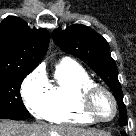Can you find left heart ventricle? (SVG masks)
Listing matches in <instances>:
<instances>
[{
    "mask_svg": "<svg viewBox=\"0 0 136 136\" xmlns=\"http://www.w3.org/2000/svg\"><path fill=\"white\" fill-rule=\"evenodd\" d=\"M94 109L96 113L102 118H109L113 113V105L110 98L104 94L99 93L94 101Z\"/></svg>",
    "mask_w": 136,
    "mask_h": 136,
    "instance_id": "left-heart-ventricle-1",
    "label": "left heart ventricle"
}]
</instances>
